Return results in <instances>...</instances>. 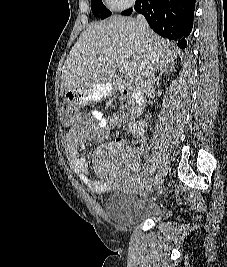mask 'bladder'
Here are the masks:
<instances>
[{"label": "bladder", "mask_w": 227, "mask_h": 267, "mask_svg": "<svg viewBox=\"0 0 227 267\" xmlns=\"http://www.w3.org/2000/svg\"><path fill=\"white\" fill-rule=\"evenodd\" d=\"M105 209L113 223L130 227L148 219L163 218L166 209L157 204H143L138 198L118 189L112 190L105 201Z\"/></svg>", "instance_id": "31cf9c89"}]
</instances>
